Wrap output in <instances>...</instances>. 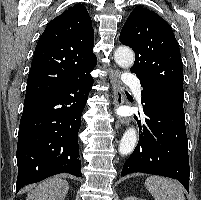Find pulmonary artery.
<instances>
[{"label": "pulmonary artery", "instance_id": "1", "mask_svg": "<svg viewBox=\"0 0 201 200\" xmlns=\"http://www.w3.org/2000/svg\"><path fill=\"white\" fill-rule=\"evenodd\" d=\"M122 80H123V82L126 85H129V86L137 88L136 95H137L138 98L141 97V93H140V88H141L140 81H139L138 77L135 74L126 73L123 76Z\"/></svg>", "mask_w": 201, "mask_h": 200}]
</instances>
